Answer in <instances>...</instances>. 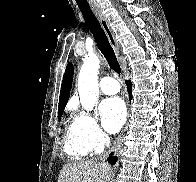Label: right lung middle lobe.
I'll return each instance as SVG.
<instances>
[{
    "mask_svg": "<svg viewBox=\"0 0 196 182\" xmlns=\"http://www.w3.org/2000/svg\"><path fill=\"white\" fill-rule=\"evenodd\" d=\"M62 114H58L59 119L61 118Z\"/></svg>",
    "mask_w": 196,
    "mask_h": 182,
    "instance_id": "dd1d6c3e",
    "label": "right lung middle lobe"
}]
</instances>
